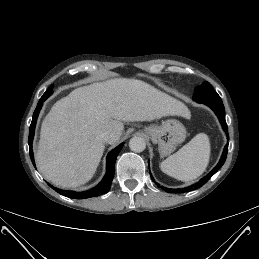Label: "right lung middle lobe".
I'll return each mask as SVG.
<instances>
[{
  "label": "right lung middle lobe",
  "instance_id": "right-lung-middle-lobe-1",
  "mask_svg": "<svg viewBox=\"0 0 259 259\" xmlns=\"http://www.w3.org/2000/svg\"><path fill=\"white\" fill-rule=\"evenodd\" d=\"M52 88L53 85H51L48 90L43 94V96H46L47 98L52 94Z\"/></svg>",
  "mask_w": 259,
  "mask_h": 259
}]
</instances>
